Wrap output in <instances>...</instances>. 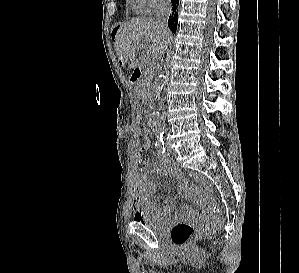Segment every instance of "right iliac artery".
Instances as JSON below:
<instances>
[{
  "mask_svg": "<svg viewBox=\"0 0 299 273\" xmlns=\"http://www.w3.org/2000/svg\"><path fill=\"white\" fill-rule=\"evenodd\" d=\"M156 148L158 149L159 153L164 154L166 149H165V144L163 141L156 143Z\"/></svg>",
  "mask_w": 299,
  "mask_h": 273,
  "instance_id": "82829eb1",
  "label": "right iliac artery"
}]
</instances>
